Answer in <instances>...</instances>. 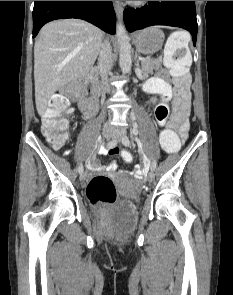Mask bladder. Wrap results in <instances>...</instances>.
I'll list each match as a JSON object with an SVG mask.
<instances>
[{"instance_id": "obj_1", "label": "bladder", "mask_w": 233, "mask_h": 295, "mask_svg": "<svg viewBox=\"0 0 233 295\" xmlns=\"http://www.w3.org/2000/svg\"><path fill=\"white\" fill-rule=\"evenodd\" d=\"M121 209H122V211H125V212H131L133 210V206L131 203H124L121 206Z\"/></svg>"}]
</instances>
